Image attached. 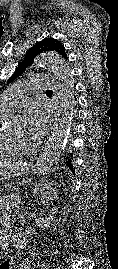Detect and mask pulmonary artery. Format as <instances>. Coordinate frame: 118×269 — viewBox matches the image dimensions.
<instances>
[{
	"instance_id": "e3ab8cb5",
	"label": "pulmonary artery",
	"mask_w": 118,
	"mask_h": 269,
	"mask_svg": "<svg viewBox=\"0 0 118 269\" xmlns=\"http://www.w3.org/2000/svg\"><path fill=\"white\" fill-rule=\"evenodd\" d=\"M52 87V80L45 75L18 81L0 95V108L12 111L22 101L29 89L44 90Z\"/></svg>"
}]
</instances>
